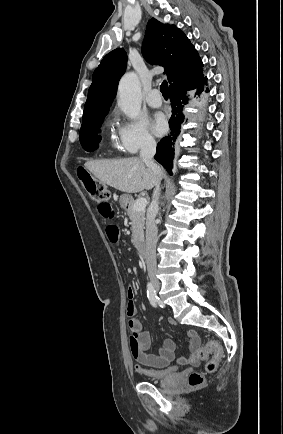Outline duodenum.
Wrapping results in <instances>:
<instances>
[{
    "label": "duodenum",
    "instance_id": "410a0bca",
    "mask_svg": "<svg viewBox=\"0 0 283 434\" xmlns=\"http://www.w3.org/2000/svg\"><path fill=\"white\" fill-rule=\"evenodd\" d=\"M137 248H138V251H139L140 255L143 258H145L147 256V244H146V241L145 240H140L137 243Z\"/></svg>",
    "mask_w": 283,
    "mask_h": 434
}]
</instances>
